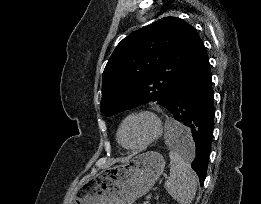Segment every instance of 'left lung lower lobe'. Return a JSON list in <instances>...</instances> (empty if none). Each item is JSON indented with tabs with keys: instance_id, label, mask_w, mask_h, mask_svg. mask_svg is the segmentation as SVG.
Listing matches in <instances>:
<instances>
[{
	"instance_id": "1",
	"label": "left lung lower lobe",
	"mask_w": 261,
	"mask_h": 204,
	"mask_svg": "<svg viewBox=\"0 0 261 204\" xmlns=\"http://www.w3.org/2000/svg\"><path fill=\"white\" fill-rule=\"evenodd\" d=\"M167 109L173 119L187 126L186 132L175 134L178 143L192 156L191 166L203 185L211 151L215 109L209 59L199 36Z\"/></svg>"
}]
</instances>
